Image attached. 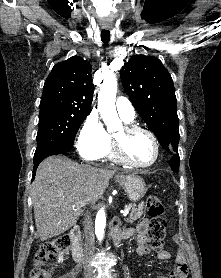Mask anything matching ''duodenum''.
<instances>
[{"instance_id": "obj_1", "label": "duodenum", "mask_w": 221, "mask_h": 278, "mask_svg": "<svg viewBox=\"0 0 221 278\" xmlns=\"http://www.w3.org/2000/svg\"><path fill=\"white\" fill-rule=\"evenodd\" d=\"M111 234L115 242H119L123 238H127L126 231H123L118 224H112ZM71 254L76 263H81L83 258V249L81 247V230L79 227H74L70 231Z\"/></svg>"}]
</instances>
